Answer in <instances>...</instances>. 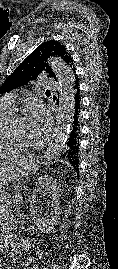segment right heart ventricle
Segmentation results:
<instances>
[{
    "label": "right heart ventricle",
    "mask_w": 118,
    "mask_h": 269,
    "mask_svg": "<svg viewBox=\"0 0 118 269\" xmlns=\"http://www.w3.org/2000/svg\"><path fill=\"white\" fill-rule=\"evenodd\" d=\"M12 115V109L0 106V157L17 154L22 149L21 144L9 136L7 124Z\"/></svg>",
    "instance_id": "obj_1"
}]
</instances>
